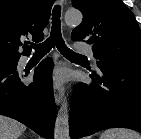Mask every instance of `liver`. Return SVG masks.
Returning <instances> with one entry per match:
<instances>
[{"mask_svg": "<svg viewBox=\"0 0 141 139\" xmlns=\"http://www.w3.org/2000/svg\"><path fill=\"white\" fill-rule=\"evenodd\" d=\"M25 130L22 123L0 115V139H18Z\"/></svg>", "mask_w": 141, "mask_h": 139, "instance_id": "liver-1", "label": "liver"}]
</instances>
